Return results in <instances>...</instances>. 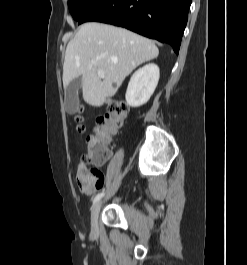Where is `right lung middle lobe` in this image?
<instances>
[{
    "instance_id": "1",
    "label": "right lung middle lobe",
    "mask_w": 247,
    "mask_h": 265,
    "mask_svg": "<svg viewBox=\"0 0 247 265\" xmlns=\"http://www.w3.org/2000/svg\"><path fill=\"white\" fill-rule=\"evenodd\" d=\"M98 0H68L71 15L79 21Z\"/></svg>"
}]
</instances>
